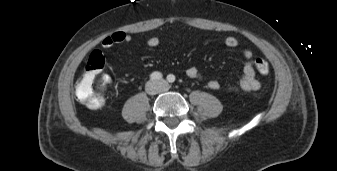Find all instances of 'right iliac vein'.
Here are the masks:
<instances>
[{"instance_id": "obj_1", "label": "right iliac vein", "mask_w": 337, "mask_h": 171, "mask_svg": "<svg viewBox=\"0 0 337 171\" xmlns=\"http://www.w3.org/2000/svg\"><path fill=\"white\" fill-rule=\"evenodd\" d=\"M146 91L153 95L158 91V85L154 82H149L146 86Z\"/></svg>"}]
</instances>
